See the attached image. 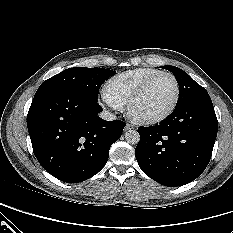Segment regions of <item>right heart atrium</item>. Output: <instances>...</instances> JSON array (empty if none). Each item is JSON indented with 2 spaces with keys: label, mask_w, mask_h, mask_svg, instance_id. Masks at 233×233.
Masks as SVG:
<instances>
[{
  "label": "right heart atrium",
  "mask_w": 233,
  "mask_h": 233,
  "mask_svg": "<svg viewBox=\"0 0 233 233\" xmlns=\"http://www.w3.org/2000/svg\"><path fill=\"white\" fill-rule=\"evenodd\" d=\"M101 100L103 104L113 110H121L123 108V105L118 102L109 92L106 88H103L101 91Z\"/></svg>",
  "instance_id": "obj_1"
}]
</instances>
